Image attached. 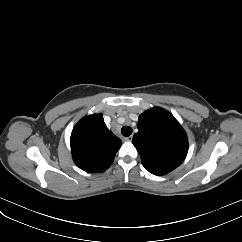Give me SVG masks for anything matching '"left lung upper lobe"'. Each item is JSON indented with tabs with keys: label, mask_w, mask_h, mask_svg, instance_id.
Masks as SVG:
<instances>
[{
	"label": "left lung upper lobe",
	"mask_w": 242,
	"mask_h": 242,
	"mask_svg": "<svg viewBox=\"0 0 242 242\" xmlns=\"http://www.w3.org/2000/svg\"><path fill=\"white\" fill-rule=\"evenodd\" d=\"M137 128L132 143L150 173L165 175L186 158V133L168 111L159 107L144 111L139 116Z\"/></svg>",
	"instance_id": "5c2ea615"
}]
</instances>
